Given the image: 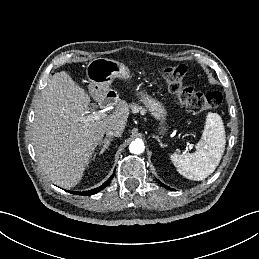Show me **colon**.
Instances as JSON below:
<instances>
[{
    "mask_svg": "<svg viewBox=\"0 0 259 259\" xmlns=\"http://www.w3.org/2000/svg\"><path fill=\"white\" fill-rule=\"evenodd\" d=\"M187 67L184 64L165 66L162 76L168 91L173 94L179 103L192 112H202L217 108L222 102V94L214 91L202 93L194 86L184 83Z\"/></svg>",
    "mask_w": 259,
    "mask_h": 259,
    "instance_id": "colon-1",
    "label": "colon"
}]
</instances>
